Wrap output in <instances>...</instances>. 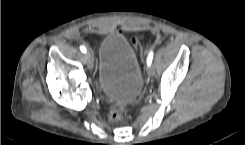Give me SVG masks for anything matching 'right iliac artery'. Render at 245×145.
<instances>
[{"label":"right iliac artery","mask_w":245,"mask_h":145,"mask_svg":"<svg viewBox=\"0 0 245 145\" xmlns=\"http://www.w3.org/2000/svg\"><path fill=\"white\" fill-rule=\"evenodd\" d=\"M80 50H81L83 53H86V52H87V50H86V48H85L84 46H80Z\"/></svg>","instance_id":"1"}]
</instances>
